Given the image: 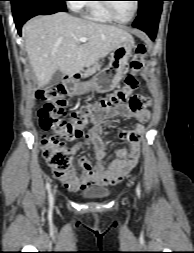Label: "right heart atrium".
I'll return each mask as SVG.
<instances>
[{"instance_id": "right-heart-atrium-1", "label": "right heart atrium", "mask_w": 194, "mask_h": 253, "mask_svg": "<svg viewBox=\"0 0 194 253\" xmlns=\"http://www.w3.org/2000/svg\"><path fill=\"white\" fill-rule=\"evenodd\" d=\"M69 6L72 10L78 11L82 8L83 2L82 0H70Z\"/></svg>"}]
</instances>
